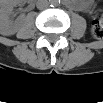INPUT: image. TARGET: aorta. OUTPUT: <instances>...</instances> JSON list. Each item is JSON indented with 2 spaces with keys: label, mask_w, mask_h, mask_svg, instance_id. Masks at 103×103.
I'll list each match as a JSON object with an SVG mask.
<instances>
[{
  "label": "aorta",
  "mask_w": 103,
  "mask_h": 103,
  "mask_svg": "<svg viewBox=\"0 0 103 103\" xmlns=\"http://www.w3.org/2000/svg\"><path fill=\"white\" fill-rule=\"evenodd\" d=\"M52 5H55V2H51Z\"/></svg>",
  "instance_id": "1"
}]
</instances>
